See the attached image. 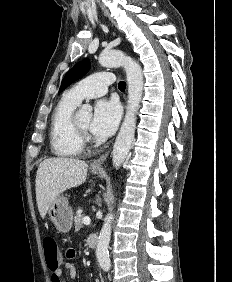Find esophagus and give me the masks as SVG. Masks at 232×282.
Segmentation results:
<instances>
[{"instance_id": "obj_1", "label": "esophagus", "mask_w": 232, "mask_h": 282, "mask_svg": "<svg viewBox=\"0 0 232 282\" xmlns=\"http://www.w3.org/2000/svg\"><path fill=\"white\" fill-rule=\"evenodd\" d=\"M109 152H106L105 154H103L101 157H99L98 159L94 160L91 163V168L93 169H97V168H101L102 164L104 163V161L107 159Z\"/></svg>"}]
</instances>
